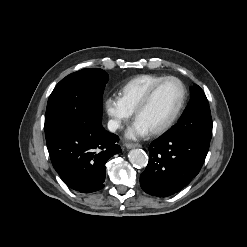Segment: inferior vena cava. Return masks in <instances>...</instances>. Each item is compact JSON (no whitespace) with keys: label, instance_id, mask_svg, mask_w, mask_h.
Returning <instances> with one entry per match:
<instances>
[{"label":"inferior vena cava","instance_id":"1","mask_svg":"<svg viewBox=\"0 0 247 247\" xmlns=\"http://www.w3.org/2000/svg\"><path fill=\"white\" fill-rule=\"evenodd\" d=\"M119 127V123L115 120H109L108 122V129L111 131V132H115Z\"/></svg>","mask_w":247,"mask_h":247}]
</instances>
